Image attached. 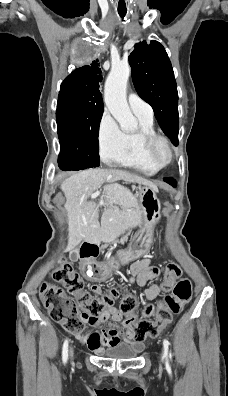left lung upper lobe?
Instances as JSON below:
<instances>
[{
  "instance_id": "left-lung-upper-lobe-1",
  "label": "left lung upper lobe",
  "mask_w": 228,
  "mask_h": 396,
  "mask_svg": "<svg viewBox=\"0 0 228 396\" xmlns=\"http://www.w3.org/2000/svg\"><path fill=\"white\" fill-rule=\"evenodd\" d=\"M134 48L129 63L136 91L152 106L163 132L178 145V93L169 57L154 40L137 43Z\"/></svg>"
}]
</instances>
